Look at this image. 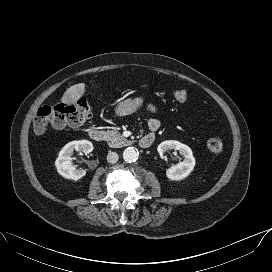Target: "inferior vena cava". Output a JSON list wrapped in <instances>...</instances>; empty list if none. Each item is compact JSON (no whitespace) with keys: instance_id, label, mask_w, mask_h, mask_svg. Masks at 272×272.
<instances>
[{"instance_id":"obj_1","label":"inferior vena cava","mask_w":272,"mask_h":272,"mask_svg":"<svg viewBox=\"0 0 272 272\" xmlns=\"http://www.w3.org/2000/svg\"><path fill=\"white\" fill-rule=\"evenodd\" d=\"M118 159H119V156H118V154L116 152L109 151V153L107 155V161L109 163L114 164V163H116L118 161Z\"/></svg>"}]
</instances>
